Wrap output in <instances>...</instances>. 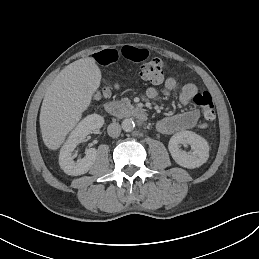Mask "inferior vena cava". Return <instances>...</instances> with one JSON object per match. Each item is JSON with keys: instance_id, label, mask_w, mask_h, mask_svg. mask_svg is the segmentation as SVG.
<instances>
[{"instance_id": "1", "label": "inferior vena cava", "mask_w": 259, "mask_h": 259, "mask_svg": "<svg viewBox=\"0 0 259 259\" xmlns=\"http://www.w3.org/2000/svg\"><path fill=\"white\" fill-rule=\"evenodd\" d=\"M109 136L116 138L121 133V126L118 123H111L107 128Z\"/></svg>"}]
</instances>
